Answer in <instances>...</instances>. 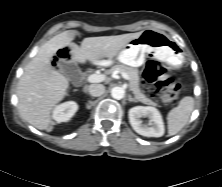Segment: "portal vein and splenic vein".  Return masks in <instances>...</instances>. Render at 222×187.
I'll use <instances>...</instances> for the list:
<instances>
[{"label": "portal vein and splenic vein", "mask_w": 222, "mask_h": 187, "mask_svg": "<svg viewBox=\"0 0 222 187\" xmlns=\"http://www.w3.org/2000/svg\"><path fill=\"white\" fill-rule=\"evenodd\" d=\"M121 75L125 80H129V76L126 73L122 72ZM105 79L106 76L104 74H91L87 77V81L90 83L103 82Z\"/></svg>", "instance_id": "1"}]
</instances>
